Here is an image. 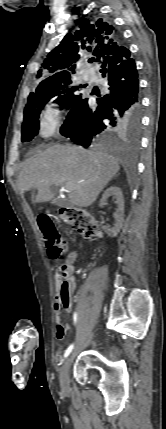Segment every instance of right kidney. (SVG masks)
Listing matches in <instances>:
<instances>
[{
	"label": "right kidney",
	"mask_w": 166,
	"mask_h": 429,
	"mask_svg": "<svg viewBox=\"0 0 166 429\" xmlns=\"http://www.w3.org/2000/svg\"><path fill=\"white\" fill-rule=\"evenodd\" d=\"M109 197H113L116 200L117 209L114 212L113 216L115 219V224L112 228L105 227L106 233L110 237H116L117 234L120 232V229L123 226V220H124V197L122 194V191L117 186H110L107 188L102 198L100 199V207L106 204V201Z\"/></svg>",
	"instance_id": "right-kidney-1"
}]
</instances>
